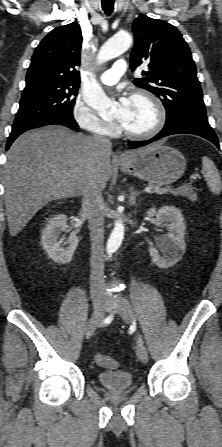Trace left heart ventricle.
Wrapping results in <instances>:
<instances>
[{
	"mask_svg": "<svg viewBox=\"0 0 222 447\" xmlns=\"http://www.w3.org/2000/svg\"><path fill=\"white\" fill-rule=\"evenodd\" d=\"M119 117V109L115 111ZM156 122V112L153 106L145 99H131L130 106L122 125L132 132H144L151 129Z\"/></svg>",
	"mask_w": 222,
	"mask_h": 447,
	"instance_id": "obj_1",
	"label": "left heart ventricle"
}]
</instances>
